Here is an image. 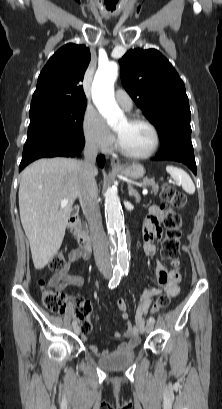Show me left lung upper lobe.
Segmentation results:
<instances>
[{"label":"left lung upper lobe","instance_id":"obj_1","mask_svg":"<svg viewBox=\"0 0 222 409\" xmlns=\"http://www.w3.org/2000/svg\"><path fill=\"white\" fill-rule=\"evenodd\" d=\"M119 63L124 88L157 128L161 145L191 142L188 97L171 63L155 49L129 50Z\"/></svg>","mask_w":222,"mask_h":409}]
</instances>
